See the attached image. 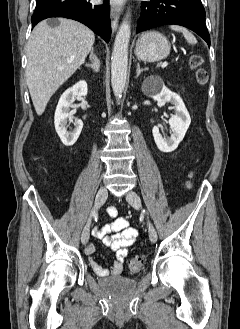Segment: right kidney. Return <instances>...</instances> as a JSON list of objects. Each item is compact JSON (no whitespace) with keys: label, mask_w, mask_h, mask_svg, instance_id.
Wrapping results in <instances>:
<instances>
[{"label":"right kidney","mask_w":240,"mask_h":329,"mask_svg":"<svg viewBox=\"0 0 240 329\" xmlns=\"http://www.w3.org/2000/svg\"><path fill=\"white\" fill-rule=\"evenodd\" d=\"M87 93V83L79 81L73 87L67 89L59 99L55 111L54 124L56 132L65 146H72L77 141L83 128V122L80 119H75L74 130H67V121H71L74 114V110L70 111V107L77 96H86Z\"/></svg>","instance_id":"1"}]
</instances>
